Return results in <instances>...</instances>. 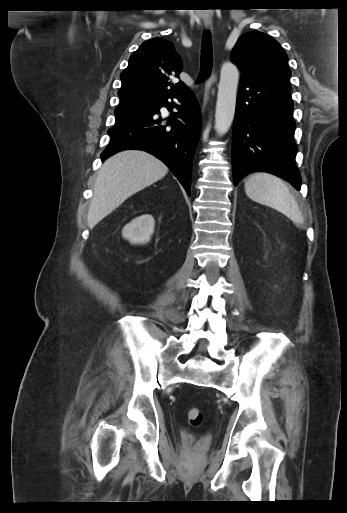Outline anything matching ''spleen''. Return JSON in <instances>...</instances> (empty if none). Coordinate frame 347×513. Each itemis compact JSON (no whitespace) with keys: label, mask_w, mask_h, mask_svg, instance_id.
Returning a JSON list of instances; mask_svg holds the SVG:
<instances>
[{"label":"spleen","mask_w":347,"mask_h":513,"mask_svg":"<svg viewBox=\"0 0 347 513\" xmlns=\"http://www.w3.org/2000/svg\"><path fill=\"white\" fill-rule=\"evenodd\" d=\"M244 189L253 201L278 210L293 222L302 223L303 217L297 201L277 176L266 172L254 173L245 181Z\"/></svg>","instance_id":"1"}]
</instances>
